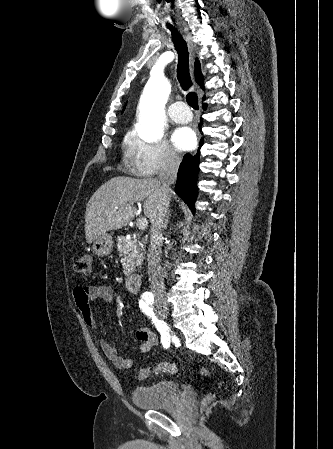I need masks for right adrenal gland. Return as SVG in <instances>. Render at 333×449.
I'll list each match as a JSON object with an SVG mask.
<instances>
[{"instance_id": "right-adrenal-gland-1", "label": "right adrenal gland", "mask_w": 333, "mask_h": 449, "mask_svg": "<svg viewBox=\"0 0 333 449\" xmlns=\"http://www.w3.org/2000/svg\"><path fill=\"white\" fill-rule=\"evenodd\" d=\"M167 225H168V216L166 217V219H165V224H164V227L166 228L167 227Z\"/></svg>"}]
</instances>
